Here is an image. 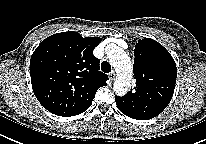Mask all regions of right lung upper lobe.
Masks as SVG:
<instances>
[{"label": "right lung upper lobe", "instance_id": "cb5924a9", "mask_svg": "<svg viewBox=\"0 0 206 144\" xmlns=\"http://www.w3.org/2000/svg\"><path fill=\"white\" fill-rule=\"evenodd\" d=\"M99 37H81L77 32L54 34L36 48L30 60L34 94L45 109L58 116H72L106 85L93 55Z\"/></svg>", "mask_w": 206, "mask_h": 144}]
</instances>
